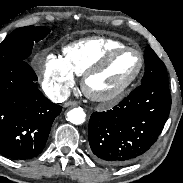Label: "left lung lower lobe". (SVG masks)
<instances>
[{
	"mask_svg": "<svg viewBox=\"0 0 183 183\" xmlns=\"http://www.w3.org/2000/svg\"><path fill=\"white\" fill-rule=\"evenodd\" d=\"M171 108L168 84L147 83L106 112L89 120L92 157L107 166L130 163L145 154L162 132Z\"/></svg>",
	"mask_w": 183,
	"mask_h": 183,
	"instance_id": "0a47b994",
	"label": "left lung lower lobe"
}]
</instances>
